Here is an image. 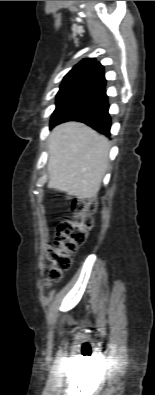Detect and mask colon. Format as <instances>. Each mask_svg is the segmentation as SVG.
<instances>
[{
	"mask_svg": "<svg viewBox=\"0 0 155 395\" xmlns=\"http://www.w3.org/2000/svg\"><path fill=\"white\" fill-rule=\"evenodd\" d=\"M73 209L74 217L60 223L55 242L47 252L49 282L62 279L63 273L71 266V255L85 243L93 224L92 214L96 209V200H74Z\"/></svg>",
	"mask_w": 155,
	"mask_h": 395,
	"instance_id": "obj_1",
	"label": "colon"
}]
</instances>
